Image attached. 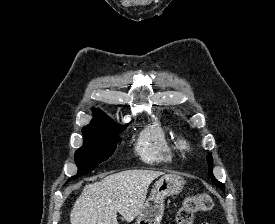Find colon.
Segmentation results:
<instances>
[{
  "mask_svg": "<svg viewBox=\"0 0 275 224\" xmlns=\"http://www.w3.org/2000/svg\"><path fill=\"white\" fill-rule=\"evenodd\" d=\"M212 208V199L207 194L187 196L181 207L176 211L174 221L176 224H193L197 214L207 212Z\"/></svg>",
  "mask_w": 275,
  "mask_h": 224,
  "instance_id": "colon-1",
  "label": "colon"
}]
</instances>
